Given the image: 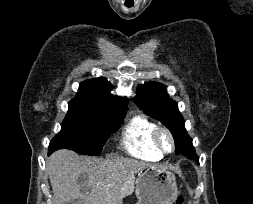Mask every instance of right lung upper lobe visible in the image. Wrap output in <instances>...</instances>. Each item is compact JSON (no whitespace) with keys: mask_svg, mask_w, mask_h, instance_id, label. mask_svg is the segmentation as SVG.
I'll return each mask as SVG.
<instances>
[{"mask_svg":"<svg viewBox=\"0 0 253 204\" xmlns=\"http://www.w3.org/2000/svg\"><path fill=\"white\" fill-rule=\"evenodd\" d=\"M111 84L105 78H94L82 82L77 96L78 102L101 108L113 116L126 114L128 101L111 95Z\"/></svg>","mask_w":253,"mask_h":204,"instance_id":"obj_1","label":"right lung upper lobe"}]
</instances>
